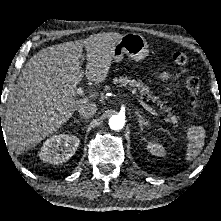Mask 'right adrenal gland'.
<instances>
[{"label":"right adrenal gland","mask_w":221,"mask_h":221,"mask_svg":"<svg viewBox=\"0 0 221 221\" xmlns=\"http://www.w3.org/2000/svg\"><path fill=\"white\" fill-rule=\"evenodd\" d=\"M83 122V119H80V120H75L74 123L76 124H81Z\"/></svg>","instance_id":"2a0ac1e0"}]
</instances>
